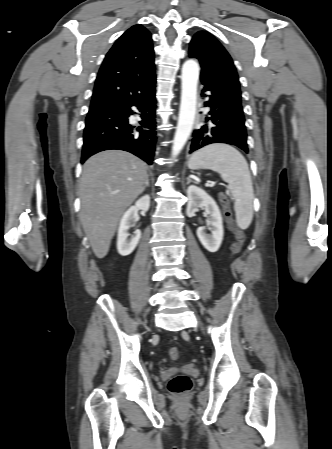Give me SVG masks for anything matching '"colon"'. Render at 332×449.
Listing matches in <instances>:
<instances>
[{
    "label": "colon",
    "mask_w": 332,
    "mask_h": 449,
    "mask_svg": "<svg viewBox=\"0 0 332 449\" xmlns=\"http://www.w3.org/2000/svg\"><path fill=\"white\" fill-rule=\"evenodd\" d=\"M219 200L223 207L224 216H225L227 223L232 225L233 224L232 211H231L230 202H229L228 197L224 194H221L219 196ZM234 232H235V241L231 245V248H230L231 256H234L241 250V248L245 242V238H246L245 233L242 230L235 228ZM169 356L173 360L179 359L180 350L177 347H171L169 349ZM191 387H192V381H191L190 377L185 374H178V375L174 376L173 378L170 379V381L168 383L169 391L172 394L177 395V396H180V395H183V394L189 392Z\"/></svg>",
    "instance_id": "colon-1"
}]
</instances>
